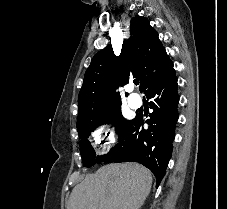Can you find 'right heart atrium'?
I'll return each mask as SVG.
<instances>
[{"label": "right heart atrium", "instance_id": "obj_1", "mask_svg": "<svg viewBox=\"0 0 227 209\" xmlns=\"http://www.w3.org/2000/svg\"><path fill=\"white\" fill-rule=\"evenodd\" d=\"M108 131H110V130H105V131H103L102 129L95 130L92 133L93 140L95 142L107 140L109 142V144H113L115 141L114 136L112 134L108 135ZM103 150H107V147H104Z\"/></svg>", "mask_w": 227, "mask_h": 209}]
</instances>
